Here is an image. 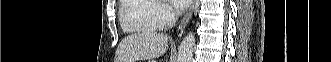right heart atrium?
<instances>
[{
	"mask_svg": "<svg viewBox=\"0 0 331 62\" xmlns=\"http://www.w3.org/2000/svg\"><path fill=\"white\" fill-rule=\"evenodd\" d=\"M174 19L173 11L164 4H155L152 20L157 27H165Z\"/></svg>",
	"mask_w": 331,
	"mask_h": 62,
	"instance_id": "obj_1",
	"label": "right heart atrium"
}]
</instances>
